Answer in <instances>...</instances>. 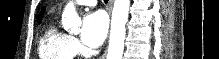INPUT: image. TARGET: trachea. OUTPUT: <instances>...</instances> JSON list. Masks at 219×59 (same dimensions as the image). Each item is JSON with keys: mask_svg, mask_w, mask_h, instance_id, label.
Segmentation results:
<instances>
[{"mask_svg": "<svg viewBox=\"0 0 219 59\" xmlns=\"http://www.w3.org/2000/svg\"><path fill=\"white\" fill-rule=\"evenodd\" d=\"M105 3H108V0H104Z\"/></svg>", "mask_w": 219, "mask_h": 59, "instance_id": "trachea-1", "label": "trachea"}]
</instances>
